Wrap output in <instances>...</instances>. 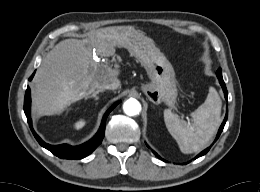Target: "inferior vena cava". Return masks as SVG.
I'll use <instances>...</instances> for the list:
<instances>
[{"mask_svg":"<svg viewBox=\"0 0 260 192\" xmlns=\"http://www.w3.org/2000/svg\"><path fill=\"white\" fill-rule=\"evenodd\" d=\"M120 86V80L115 78L106 84L100 86V90H116Z\"/></svg>","mask_w":260,"mask_h":192,"instance_id":"1","label":"inferior vena cava"}]
</instances>
